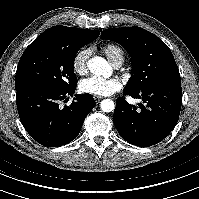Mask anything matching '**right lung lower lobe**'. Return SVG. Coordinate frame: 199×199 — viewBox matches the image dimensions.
Segmentation results:
<instances>
[{
    "mask_svg": "<svg viewBox=\"0 0 199 199\" xmlns=\"http://www.w3.org/2000/svg\"><path fill=\"white\" fill-rule=\"evenodd\" d=\"M75 87L64 91L25 89L17 91V109L22 125L38 143L59 147L74 140L86 116L96 105L86 93L75 95L74 101L64 108L59 102L73 96Z\"/></svg>",
    "mask_w": 199,
    "mask_h": 199,
    "instance_id": "right-lung-lower-lobe-1",
    "label": "right lung lower lobe"
}]
</instances>
